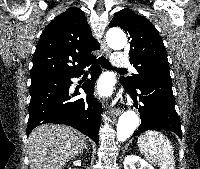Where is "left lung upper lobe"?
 I'll return each mask as SVG.
<instances>
[{
	"mask_svg": "<svg viewBox=\"0 0 200 169\" xmlns=\"http://www.w3.org/2000/svg\"><path fill=\"white\" fill-rule=\"evenodd\" d=\"M115 26L129 34L130 63L137 70L131 77H121V83L131 89L146 83L172 87L166 50L154 25L130 9H123L109 24V27Z\"/></svg>",
	"mask_w": 200,
	"mask_h": 169,
	"instance_id": "left-lung-upper-lobe-1",
	"label": "left lung upper lobe"
}]
</instances>
